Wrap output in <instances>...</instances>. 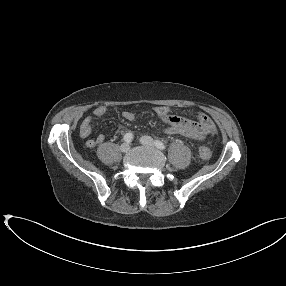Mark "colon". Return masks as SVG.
I'll use <instances>...</instances> for the list:
<instances>
[{
	"label": "colon",
	"mask_w": 286,
	"mask_h": 286,
	"mask_svg": "<svg viewBox=\"0 0 286 286\" xmlns=\"http://www.w3.org/2000/svg\"><path fill=\"white\" fill-rule=\"evenodd\" d=\"M199 155L203 160H208L211 157V151L208 147L202 146L199 149Z\"/></svg>",
	"instance_id": "1"
}]
</instances>
